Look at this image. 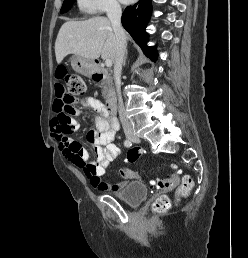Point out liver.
I'll list each match as a JSON object with an SVG mask.
<instances>
[{
    "label": "liver",
    "mask_w": 248,
    "mask_h": 258,
    "mask_svg": "<svg viewBox=\"0 0 248 258\" xmlns=\"http://www.w3.org/2000/svg\"><path fill=\"white\" fill-rule=\"evenodd\" d=\"M126 39H129L128 35ZM115 50L116 35L110 20L105 17H94L85 21H68L60 28L55 42L58 64L68 54L92 61L101 55L102 58L114 62Z\"/></svg>",
    "instance_id": "obj_1"
}]
</instances>
